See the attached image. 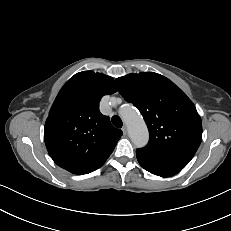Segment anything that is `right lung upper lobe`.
I'll use <instances>...</instances> for the list:
<instances>
[{
    "mask_svg": "<svg viewBox=\"0 0 231 231\" xmlns=\"http://www.w3.org/2000/svg\"><path fill=\"white\" fill-rule=\"evenodd\" d=\"M116 91L112 77L93 71L79 72L64 84L44 127L47 150L58 166L87 174L110 156L123 133L100 113L99 102Z\"/></svg>",
    "mask_w": 231,
    "mask_h": 231,
    "instance_id": "cb5924a9",
    "label": "right lung upper lobe"
}]
</instances>
